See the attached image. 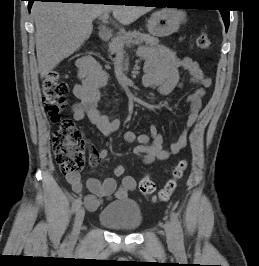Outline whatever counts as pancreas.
<instances>
[{
	"label": "pancreas",
	"instance_id": "cf45deb5",
	"mask_svg": "<svg viewBox=\"0 0 259 266\" xmlns=\"http://www.w3.org/2000/svg\"><path fill=\"white\" fill-rule=\"evenodd\" d=\"M141 43H145L143 48L152 49L158 45L159 40L139 31L120 33L109 42V52L111 54H119L123 52L125 47L140 45Z\"/></svg>",
	"mask_w": 259,
	"mask_h": 266
}]
</instances>
